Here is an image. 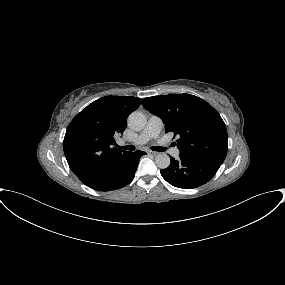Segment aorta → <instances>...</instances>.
<instances>
[{"instance_id": "762f6f07", "label": "aorta", "mask_w": 285, "mask_h": 285, "mask_svg": "<svg viewBox=\"0 0 285 285\" xmlns=\"http://www.w3.org/2000/svg\"><path fill=\"white\" fill-rule=\"evenodd\" d=\"M146 123H147L146 116L139 111H134L133 113L130 114L128 118V124L130 128H132L135 131H140L144 129ZM155 164L160 169H166L170 165V157L165 153L158 154L155 157Z\"/></svg>"}]
</instances>
